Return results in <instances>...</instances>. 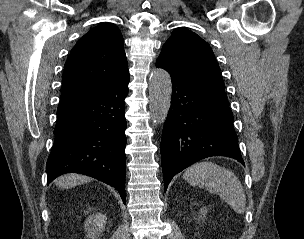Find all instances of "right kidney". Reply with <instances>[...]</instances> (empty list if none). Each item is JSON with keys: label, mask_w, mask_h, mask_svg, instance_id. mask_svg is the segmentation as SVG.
Segmentation results:
<instances>
[{"label": "right kidney", "mask_w": 304, "mask_h": 239, "mask_svg": "<svg viewBox=\"0 0 304 239\" xmlns=\"http://www.w3.org/2000/svg\"><path fill=\"white\" fill-rule=\"evenodd\" d=\"M106 224V216L102 214H93L87 218L84 229L86 237L90 239H97L104 231Z\"/></svg>", "instance_id": "ca27d5eb"}]
</instances>
